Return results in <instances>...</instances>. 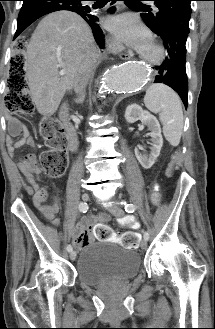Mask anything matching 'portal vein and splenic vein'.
<instances>
[{
	"mask_svg": "<svg viewBox=\"0 0 215 329\" xmlns=\"http://www.w3.org/2000/svg\"><path fill=\"white\" fill-rule=\"evenodd\" d=\"M65 74V70H62L61 72H60V75H64Z\"/></svg>",
	"mask_w": 215,
	"mask_h": 329,
	"instance_id": "obj_1",
	"label": "portal vein and splenic vein"
}]
</instances>
